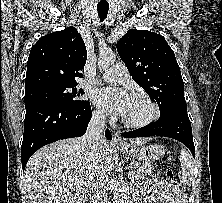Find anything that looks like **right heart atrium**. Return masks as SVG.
<instances>
[{
    "instance_id": "1",
    "label": "right heart atrium",
    "mask_w": 222,
    "mask_h": 203,
    "mask_svg": "<svg viewBox=\"0 0 222 203\" xmlns=\"http://www.w3.org/2000/svg\"><path fill=\"white\" fill-rule=\"evenodd\" d=\"M93 116L98 121H103L106 118V114L100 109L95 110Z\"/></svg>"
}]
</instances>
